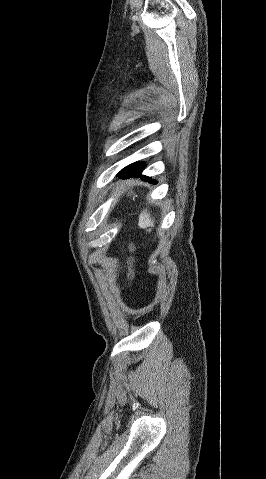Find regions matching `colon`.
<instances>
[{
	"label": "colon",
	"mask_w": 266,
	"mask_h": 479,
	"mask_svg": "<svg viewBox=\"0 0 266 479\" xmlns=\"http://www.w3.org/2000/svg\"><path fill=\"white\" fill-rule=\"evenodd\" d=\"M130 276H131V277H133V276H134V272H133V270H131V272H130Z\"/></svg>",
	"instance_id": "1"
}]
</instances>
